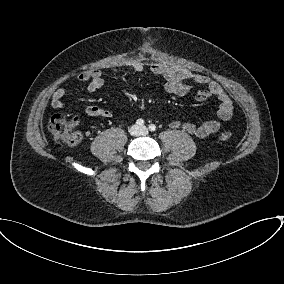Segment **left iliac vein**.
Here are the masks:
<instances>
[{"mask_svg": "<svg viewBox=\"0 0 284 284\" xmlns=\"http://www.w3.org/2000/svg\"><path fill=\"white\" fill-rule=\"evenodd\" d=\"M140 132L143 135H146L148 133V129L145 126L140 127Z\"/></svg>", "mask_w": 284, "mask_h": 284, "instance_id": "obj_1", "label": "left iliac vein"}]
</instances>
